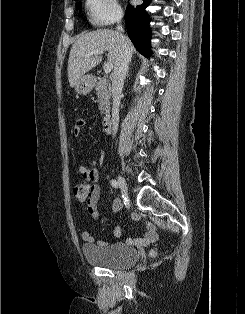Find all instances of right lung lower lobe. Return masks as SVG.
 <instances>
[{
    "instance_id": "obj_1",
    "label": "right lung lower lobe",
    "mask_w": 245,
    "mask_h": 314,
    "mask_svg": "<svg viewBox=\"0 0 245 314\" xmlns=\"http://www.w3.org/2000/svg\"><path fill=\"white\" fill-rule=\"evenodd\" d=\"M150 2L151 0H143V4L136 7L129 4L125 14V23L129 38L137 50L145 55H148L150 52V20L145 10L150 5Z\"/></svg>"
}]
</instances>
